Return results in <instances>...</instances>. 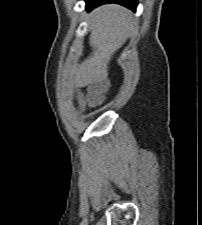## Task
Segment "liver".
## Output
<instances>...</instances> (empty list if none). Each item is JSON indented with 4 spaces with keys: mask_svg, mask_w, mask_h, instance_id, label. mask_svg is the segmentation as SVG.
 Listing matches in <instances>:
<instances>
[{
    "mask_svg": "<svg viewBox=\"0 0 202 225\" xmlns=\"http://www.w3.org/2000/svg\"><path fill=\"white\" fill-rule=\"evenodd\" d=\"M88 20L93 52L75 71L74 82L77 85L107 79L108 64L113 54L125 43L133 26L131 12L116 4L94 9Z\"/></svg>",
    "mask_w": 202,
    "mask_h": 225,
    "instance_id": "obj_1",
    "label": "liver"
}]
</instances>
